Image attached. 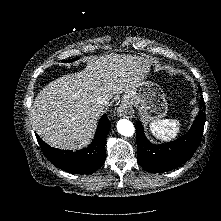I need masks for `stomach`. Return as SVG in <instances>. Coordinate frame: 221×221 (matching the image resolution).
I'll list each match as a JSON object with an SVG mask.
<instances>
[{
	"label": "stomach",
	"mask_w": 221,
	"mask_h": 221,
	"mask_svg": "<svg viewBox=\"0 0 221 221\" xmlns=\"http://www.w3.org/2000/svg\"><path fill=\"white\" fill-rule=\"evenodd\" d=\"M123 102L138 107L141 116L147 121L161 120L168 110L161 88L155 83L144 80L123 95Z\"/></svg>",
	"instance_id": "stomach-1"
}]
</instances>
